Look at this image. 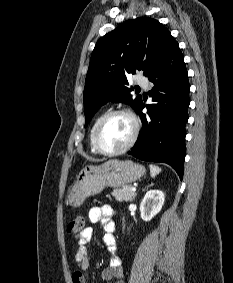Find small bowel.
I'll return each instance as SVG.
<instances>
[{
  "label": "small bowel",
  "instance_id": "1",
  "mask_svg": "<svg viewBox=\"0 0 233 283\" xmlns=\"http://www.w3.org/2000/svg\"><path fill=\"white\" fill-rule=\"evenodd\" d=\"M115 211L110 205H103L100 207H93L88 213L90 222H100L104 229L103 242L107 250L111 253L110 263L102 272V278L106 281L114 280V283H124L122 280V267L121 260L116 255V239L114 236L115 224L113 217ZM93 236L92 227H87L83 230L80 235L77 252L75 255L76 263L79 270L74 272L72 275L73 283H84L83 272L88 269V244L90 243Z\"/></svg>",
  "mask_w": 233,
  "mask_h": 283
}]
</instances>
